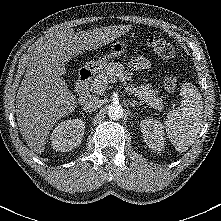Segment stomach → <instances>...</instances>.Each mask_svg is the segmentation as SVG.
<instances>
[{
  "label": "stomach",
  "instance_id": "1",
  "mask_svg": "<svg viewBox=\"0 0 221 221\" xmlns=\"http://www.w3.org/2000/svg\"><path fill=\"white\" fill-rule=\"evenodd\" d=\"M126 48L127 44L125 42L117 41L112 45L109 55L96 61L92 60L90 62H87L85 68L92 73L101 72L107 65L109 60L121 56L125 52Z\"/></svg>",
  "mask_w": 221,
  "mask_h": 221
}]
</instances>
